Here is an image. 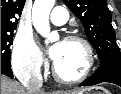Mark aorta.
Returning <instances> with one entry per match:
<instances>
[{
    "mask_svg": "<svg viewBox=\"0 0 121 94\" xmlns=\"http://www.w3.org/2000/svg\"><path fill=\"white\" fill-rule=\"evenodd\" d=\"M55 0H35L32 9V22L36 31L46 38V43L58 38L56 32L50 31L49 15Z\"/></svg>",
    "mask_w": 121,
    "mask_h": 94,
    "instance_id": "762f6f07",
    "label": "aorta"
}]
</instances>
